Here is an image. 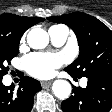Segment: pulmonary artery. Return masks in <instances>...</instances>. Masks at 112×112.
I'll return each instance as SVG.
<instances>
[{"label":"pulmonary artery","mask_w":112,"mask_h":112,"mask_svg":"<svg viewBox=\"0 0 112 112\" xmlns=\"http://www.w3.org/2000/svg\"><path fill=\"white\" fill-rule=\"evenodd\" d=\"M69 34V30L66 26L60 25V26H52L49 29V35L52 43L55 46H61L65 43L67 40ZM87 82L86 79L82 81V85H85Z\"/></svg>","instance_id":"obj_1"}]
</instances>
